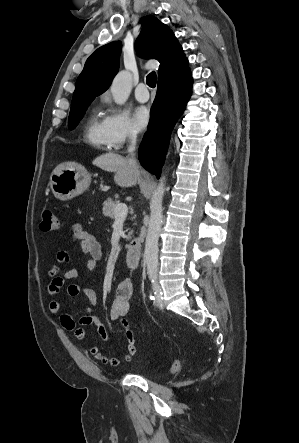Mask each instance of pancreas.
<instances>
[{"label":"pancreas","instance_id":"1","mask_svg":"<svg viewBox=\"0 0 299 443\" xmlns=\"http://www.w3.org/2000/svg\"><path fill=\"white\" fill-rule=\"evenodd\" d=\"M120 204V202L118 200H112V199H107L104 203H103V215L106 217H109L111 219H115V215H114V210L115 207ZM132 234H133V230H131L128 235L126 236L127 240H130L132 238Z\"/></svg>","mask_w":299,"mask_h":443}]
</instances>
